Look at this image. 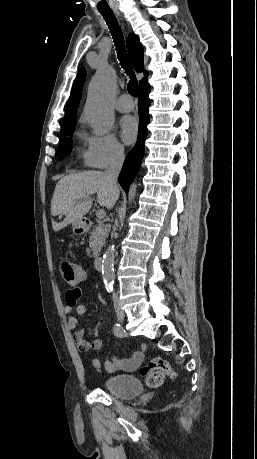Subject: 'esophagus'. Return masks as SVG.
I'll return each instance as SVG.
<instances>
[{"label":"esophagus","instance_id":"1","mask_svg":"<svg viewBox=\"0 0 257 459\" xmlns=\"http://www.w3.org/2000/svg\"><path fill=\"white\" fill-rule=\"evenodd\" d=\"M116 14H117L118 16H120V13H119L118 11H116Z\"/></svg>","mask_w":257,"mask_h":459}]
</instances>
